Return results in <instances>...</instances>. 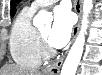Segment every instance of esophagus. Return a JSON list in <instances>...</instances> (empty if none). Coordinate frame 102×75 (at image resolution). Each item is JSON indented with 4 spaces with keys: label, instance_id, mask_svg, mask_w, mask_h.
<instances>
[{
    "label": "esophagus",
    "instance_id": "obj_1",
    "mask_svg": "<svg viewBox=\"0 0 102 75\" xmlns=\"http://www.w3.org/2000/svg\"><path fill=\"white\" fill-rule=\"evenodd\" d=\"M74 9H75L76 13L78 14L79 20H78V23H77L76 27L73 30V40H75V38L78 34V31H79V28H80L82 0H75L74 1ZM64 58H65V55L62 56L60 59H58L53 64L47 66L44 69V72L47 73V74H50V75H58L59 72H60L61 66L63 64Z\"/></svg>",
    "mask_w": 102,
    "mask_h": 75
}]
</instances>
